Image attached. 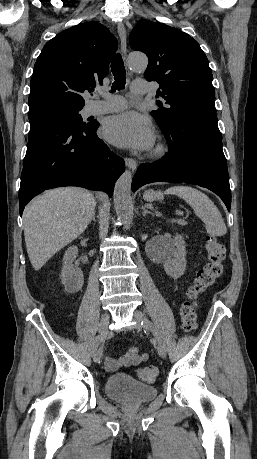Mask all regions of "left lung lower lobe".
<instances>
[{"label": "left lung lower lobe", "instance_id": "left-lung-lower-lobe-1", "mask_svg": "<svg viewBox=\"0 0 257 459\" xmlns=\"http://www.w3.org/2000/svg\"><path fill=\"white\" fill-rule=\"evenodd\" d=\"M161 130L169 152L156 162L139 166L132 191L158 181L197 184L216 193L230 211L227 162L215 112L184 113Z\"/></svg>", "mask_w": 257, "mask_h": 459}]
</instances>
